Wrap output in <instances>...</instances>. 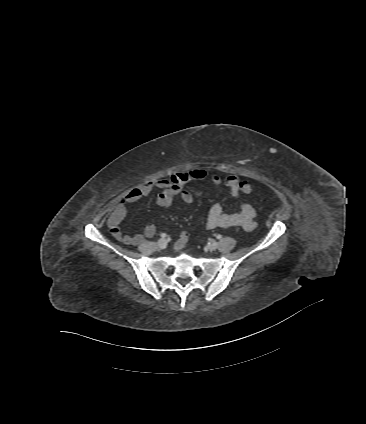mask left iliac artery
<instances>
[{"label":"left iliac artery","instance_id":"left-iliac-artery-1","mask_svg":"<svg viewBox=\"0 0 366 424\" xmlns=\"http://www.w3.org/2000/svg\"><path fill=\"white\" fill-rule=\"evenodd\" d=\"M222 236L220 234L217 235V239H221Z\"/></svg>","mask_w":366,"mask_h":424}]
</instances>
